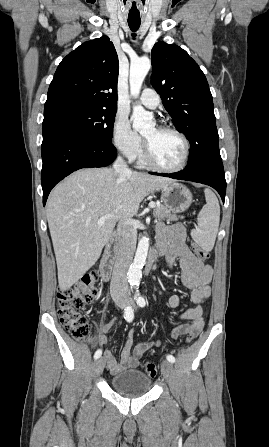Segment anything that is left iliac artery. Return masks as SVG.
Returning <instances> with one entry per match:
<instances>
[{
  "mask_svg": "<svg viewBox=\"0 0 269 447\" xmlns=\"http://www.w3.org/2000/svg\"><path fill=\"white\" fill-rule=\"evenodd\" d=\"M133 286H134V288L136 289L134 298H135L137 304H138L140 307H144V306L146 305V302H145V299L140 295V293H139V291H138L139 283H138V282H135V283H133ZM167 360H168L169 362H171V363H174V362H175V358H174L172 355H167Z\"/></svg>",
  "mask_w": 269,
  "mask_h": 447,
  "instance_id": "left-iliac-artery-1",
  "label": "left iliac artery"
}]
</instances>
